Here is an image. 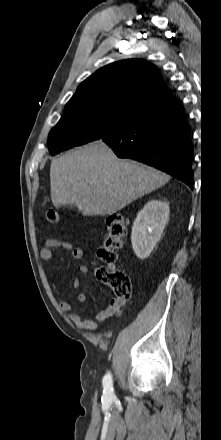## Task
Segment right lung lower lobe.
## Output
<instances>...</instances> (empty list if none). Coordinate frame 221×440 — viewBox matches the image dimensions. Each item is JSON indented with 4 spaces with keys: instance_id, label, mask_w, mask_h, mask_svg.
<instances>
[{
    "instance_id": "obj_1",
    "label": "right lung lower lobe",
    "mask_w": 221,
    "mask_h": 440,
    "mask_svg": "<svg viewBox=\"0 0 221 440\" xmlns=\"http://www.w3.org/2000/svg\"><path fill=\"white\" fill-rule=\"evenodd\" d=\"M119 158H130L193 184V146L184 109L173 95L137 109L100 138Z\"/></svg>"
}]
</instances>
